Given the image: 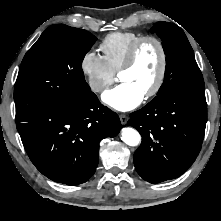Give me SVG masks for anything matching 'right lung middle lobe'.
<instances>
[{
  "label": "right lung middle lobe",
  "instance_id": "dd1d6c3e",
  "mask_svg": "<svg viewBox=\"0 0 221 221\" xmlns=\"http://www.w3.org/2000/svg\"><path fill=\"white\" fill-rule=\"evenodd\" d=\"M96 40L85 30L62 24L46 29L19 69L14 89L16 120L66 106L91 92L82 61Z\"/></svg>",
  "mask_w": 221,
  "mask_h": 221
}]
</instances>
